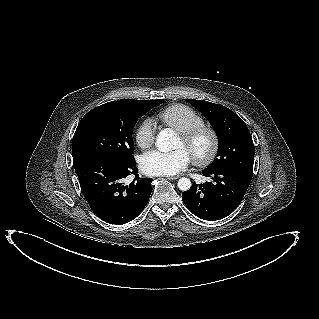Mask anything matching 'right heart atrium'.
<instances>
[{"mask_svg": "<svg viewBox=\"0 0 319 319\" xmlns=\"http://www.w3.org/2000/svg\"><path fill=\"white\" fill-rule=\"evenodd\" d=\"M135 141L141 149H148L154 142V125L150 119H145L138 124L135 130Z\"/></svg>", "mask_w": 319, "mask_h": 319, "instance_id": "right-heart-atrium-1", "label": "right heart atrium"}]
</instances>
